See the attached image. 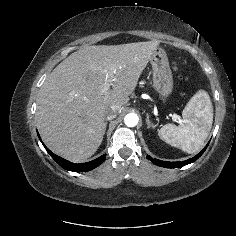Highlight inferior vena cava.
Segmentation results:
<instances>
[{
    "instance_id": "1",
    "label": "inferior vena cava",
    "mask_w": 236,
    "mask_h": 236,
    "mask_svg": "<svg viewBox=\"0 0 236 236\" xmlns=\"http://www.w3.org/2000/svg\"><path fill=\"white\" fill-rule=\"evenodd\" d=\"M120 107L117 105H112L110 106L106 111H105V117L107 120H112L116 118L117 114L119 113Z\"/></svg>"
}]
</instances>
